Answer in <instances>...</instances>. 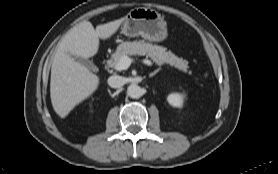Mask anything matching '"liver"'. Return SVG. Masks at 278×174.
I'll list each match as a JSON object with an SVG mask.
<instances>
[{"instance_id": "obj_1", "label": "liver", "mask_w": 278, "mask_h": 174, "mask_svg": "<svg viewBox=\"0 0 278 174\" xmlns=\"http://www.w3.org/2000/svg\"><path fill=\"white\" fill-rule=\"evenodd\" d=\"M125 18L114 20L94 29L83 21L69 30L59 42L51 68L50 97L54 111L65 118L80 102L89 97L99 85V77L69 54L88 59L97 54L100 39L114 35Z\"/></svg>"}]
</instances>
